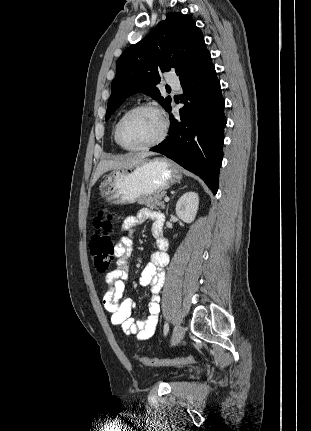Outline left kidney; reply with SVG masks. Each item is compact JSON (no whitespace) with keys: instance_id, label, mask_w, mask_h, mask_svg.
<instances>
[{"instance_id":"1","label":"left kidney","mask_w":311,"mask_h":431,"mask_svg":"<svg viewBox=\"0 0 311 431\" xmlns=\"http://www.w3.org/2000/svg\"><path fill=\"white\" fill-rule=\"evenodd\" d=\"M199 196L196 192H186L176 204V214L182 221L191 223L198 212Z\"/></svg>"}]
</instances>
